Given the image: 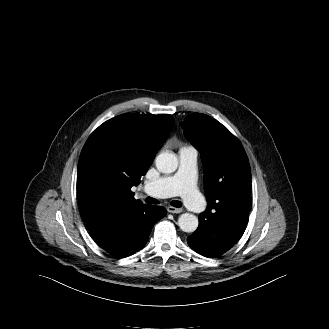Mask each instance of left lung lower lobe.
I'll return each mask as SVG.
<instances>
[{"instance_id": "0a47b994", "label": "left lung lower lobe", "mask_w": 329, "mask_h": 329, "mask_svg": "<svg viewBox=\"0 0 329 329\" xmlns=\"http://www.w3.org/2000/svg\"><path fill=\"white\" fill-rule=\"evenodd\" d=\"M247 222V209H240L238 218L219 224H209L199 217L198 229L187 238L188 245L205 257L220 256L242 237Z\"/></svg>"}]
</instances>
